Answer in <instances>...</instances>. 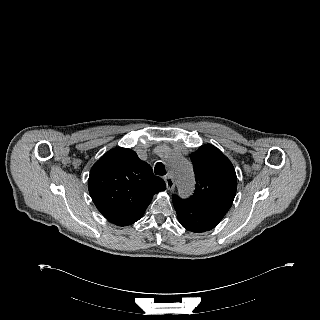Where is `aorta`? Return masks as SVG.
Instances as JSON below:
<instances>
[{"mask_svg":"<svg viewBox=\"0 0 320 320\" xmlns=\"http://www.w3.org/2000/svg\"><path fill=\"white\" fill-rule=\"evenodd\" d=\"M167 163L177 182L179 194L189 196L194 190V175L191 163L181 155L170 154Z\"/></svg>","mask_w":320,"mask_h":320,"instance_id":"762f6f07","label":"aorta"}]
</instances>
